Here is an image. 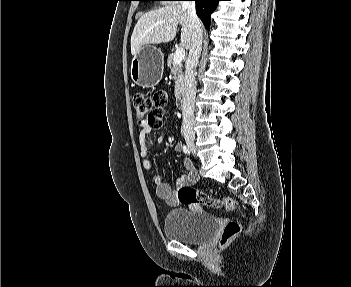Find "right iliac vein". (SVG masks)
Segmentation results:
<instances>
[{"label":"right iliac vein","instance_id":"1","mask_svg":"<svg viewBox=\"0 0 351 287\" xmlns=\"http://www.w3.org/2000/svg\"><path fill=\"white\" fill-rule=\"evenodd\" d=\"M186 143L188 145V147L190 148L191 151L195 152L196 151V147H195V143H194V139L193 138H187L186 139Z\"/></svg>","mask_w":351,"mask_h":287}]
</instances>
